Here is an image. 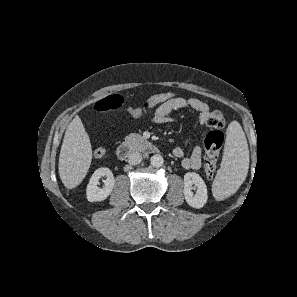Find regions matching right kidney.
<instances>
[{
    "label": "right kidney",
    "instance_id": "right-kidney-1",
    "mask_svg": "<svg viewBox=\"0 0 297 297\" xmlns=\"http://www.w3.org/2000/svg\"><path fill=\"white\" fill-rule=\"evenodd\" d=\"M106 177L103 188L98 187L99 179ZM115 185L113 173L109 168L101 167L97 169L91 176L89 184L87 185L86 195L89 202L103 201L112 192Z\"/></svg>",
    "mask_w": 297,
    "mask_h": 297
}]
</instances>
